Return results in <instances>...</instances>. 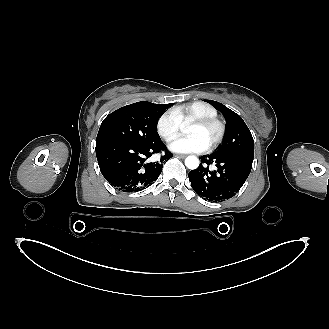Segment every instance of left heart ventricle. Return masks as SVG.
Wrapping results in <instances>:
<instances>
[{
	"instance_id": "1",
	"label": "left heart ventricle",
	"mask_w": 329,
	"mask_h": 329,
	"mask_svg": "<svg viewBox=\"0 0 329 329\" xmlns=\"http://www.w3.org/2000/svg\"><path fill=\"white\" fill-rule=\"evenodd\" d=\"M187 135L199 136L207 146H209L217 135V128L215 126L202 127L190 124L186 130Z\"/></svg>"
}]
</instances>
